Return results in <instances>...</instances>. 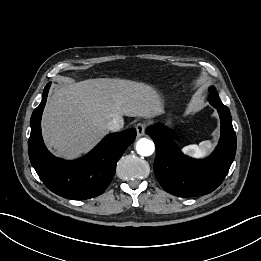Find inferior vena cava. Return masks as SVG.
<instances>
[{"label": "inferior vena cava", "mask_w": 261, "mask_h": 261, "mask_svg": "<svg viewBox=\"0 0 261 261\" xmlns=\"http://www.w3.org/2000/svg\"><path fill=\"white\" fill-rule=\"evenodd\" d=\"M123 126H124V120L122 117L118 116L113 118L110 122H108L106 128L110 131L116 132L122 129Z\"/></svg>", "instance_id": "inferior-vena-cava-1"}]
</instances>
